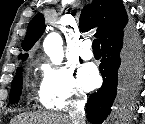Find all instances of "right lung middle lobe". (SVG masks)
<instances>
[{
	"mask_svg": "<svg viewBox=\"0 0 145 124\" xmlns=\"http://www.w3.org/2000/svg\"><path fill=\"white\" fill-rule=\"evenodd\" d=\"M22 91V70L18 67L16 75L12 82L11 92L9 95L10 103H17L19 101Z\"/></svg>",
	"mask_w": 145,
	"mask_h": 124,
	"instance_id": "obj_1",
	"label": "right lung middle lobe"
}]
</instances>
